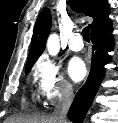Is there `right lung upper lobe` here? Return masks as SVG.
Wrapping results in <instances>:
<instances>
[{
    "label": "right lung upper lobe",
    "mask_w": 118,
    "mask_h": 123,
    "mask_svg": "<svg viewBox=\"0 0 118 123\" xmlns=\"http://www.w3.org/2000/svg\"><path fill=\"white\" fill-rule=\"evenodd\" d=\"M71 8L93 18L91 23V37L96 36L111 27L109 19L110 7L107 0H69ZM51 14L45 8L39 14L27 59L26 70L31 69L45 48V43L50 32Z\"/></svg>",
    "instance_id": "right-lung-upper-lobe-1"
}]
</instances>
